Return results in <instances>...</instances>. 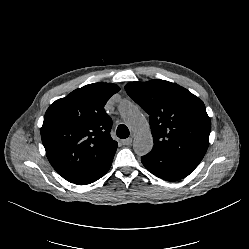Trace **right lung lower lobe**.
Returning <instances> with one entry per match:
<instances>
[{
  "label": "right lung lower lobe",
  "mask_w": 249,
  "mask_h": 249,
  "mask_svg": "<svg viewBox=\"0 0 249 249\" xmlns=\"http://www.w3.org/2000/svg\"><path fill=\"white\" fill-rule=\"evenodd\" d=\"M114 154H112L110 157H108L100 166H98L96 169H94L91 173H89L88 175L84 176L83 178H81L77 181H74L72 183H75L78 185H85V184H90V183L98 180L99 178H101L110 169Z\"/></svg>",
  "instance_id": "obj_1"
}]
</instances>
